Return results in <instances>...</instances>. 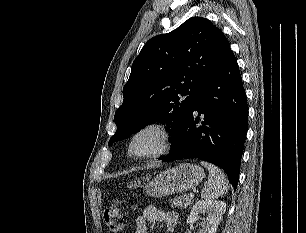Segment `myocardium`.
I'll use <instances>...</instances> for the list:
<instances>
[{
    "instance_id": "f54148a6",
    "label": "myocardium",
    "mask_w": 306,
    "mask_h": 233,
    "mask_svg": "<svg viewBox=\"0 0 306 233\" xmlns=\"http://www.w3.org/2000/svg\"><path fill=\"white\" fill-rule=\"evenodd\" d=\"M150 130L156 131L160 136V144L158 148L152 153L146 155L133 154L131 146L135 138L139 134ZM172 144H173V132L169 124L161 120H153L140 125L131 133L126 143V153L133 160H138V161L147 160L159 157L167 153L171 149Z\"/></svg>"
}]
</instances>
